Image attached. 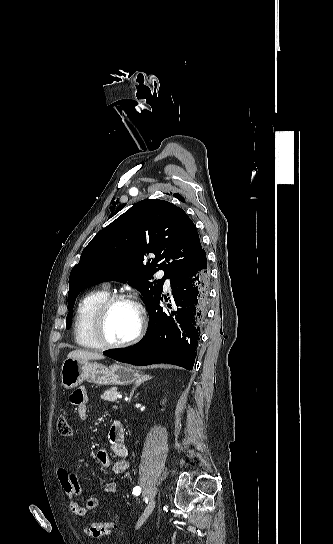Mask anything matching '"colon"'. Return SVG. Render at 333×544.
Listing matches in <instances>:
<instances>
[{"label": "colon", "instance_id": "1", "mask_svg": "<svg viewBox=\"0 0 333 544\" xmlns=\"http://www.w3.org/2000/svg\"><path fill=\"white\" fill-rule=\"evenodd\" d=\"M56 428L58 433L61 436H70L72 434L71 426L67 418L63 415H60L57 419ZM116 525L110 521H91L88 523L87 531L90 535L94 537H102L110 532L111 529L115 528Z\"/></svg>", "mask_w": 333, "mask_h": 544}]
</instances>
